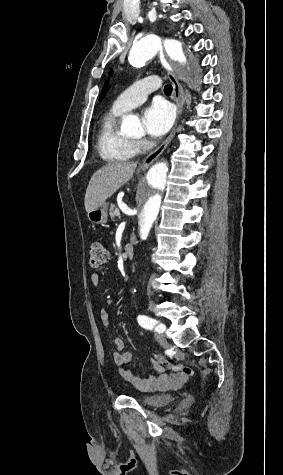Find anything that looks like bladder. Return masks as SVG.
<instances>
[{
  "label": "bladder",
  "instance_id": "bladder-1",
  "mask_svg": "<svg viewBox=\"0 0 283 475\" xmlns=\"http://www.w3.org/2000/svg\"><path fill=\"white\" fill-rule=\"evenodd\" d=\"M136 401L144 407H163L174 400V394H162L153 396L135 395Z\"/></svg>",
  "mask_w": 283,
  "mask_h": 475
}]
</instances>
